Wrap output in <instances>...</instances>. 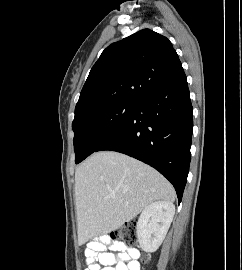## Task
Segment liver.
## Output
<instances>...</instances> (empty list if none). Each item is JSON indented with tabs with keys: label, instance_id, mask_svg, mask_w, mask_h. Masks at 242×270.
<instances>
[{
	"label": "liver",
	"instance_id": "6515ba94",
	"mask_svg": "<svg viewBox=\"0 0 242 270\" xmlns=\"http://www.w3.org/2000/svg\"><path fill=\"white\" fill-rule=\"evenodd\" d=\"M75 195L79 245L119 229L155 201L176 197L155 169L113 151L94 153L76 168Z\"/></svg>",
	"mask_w": 242,
	"mask_h": 270
}]
</instances>
